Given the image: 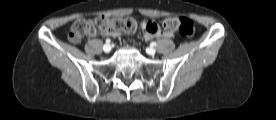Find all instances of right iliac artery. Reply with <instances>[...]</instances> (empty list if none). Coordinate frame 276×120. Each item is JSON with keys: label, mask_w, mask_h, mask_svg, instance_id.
Returning <instances> with one entry per match:
<instances>
[{"label": "right iliac artery", "mask_w": 276, "mask_h": 120, "mask_svg": "<svg viewBox=\"0 0 276 120\" xmlns=\"http://www.w3.org/2000/svg\"><path fill=\"white\" fill-rule=\"evenodd\" d=\"M111 42L110 39H106V43L109 44Z\"/></svg>", "instance_id": "82829eb1"}]
</instances>
